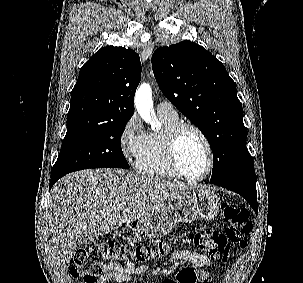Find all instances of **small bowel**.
<instances>
[{
  "instance_id": "1",
  "label": "small bowel",
  "mask_w": 303,
  "mask_h": 283,
  "mask_svg": "<svg viewBox=\"0 0 303 283\" xmlns=\"http://www.w3.org/2000/svg\"><path fill=\"white\" fill-rule=\"evenodd\" d=\"M169 258L173 261L185 260L190 262L194 267L203 268L210 264V260L206 255L191 251L185 248H178L173 251ZM148 267L141 265L134 267L132 264L111 263L105 266L103 274L98 283H129L133 274L142 276ZM202 283H211L210 277L207 274H202Z\"/></svg>"
}]
</instances>
